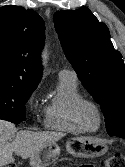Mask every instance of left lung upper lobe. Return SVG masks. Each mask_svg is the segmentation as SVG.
<instances>
[{"label":"left lung upper lobe","mask_w":125,"mask_h":167,"mask_svg":"<svg viewBox=\"0 0 125 167\" xmlns=\"http://www.w3.org/2000/svg\"><path fill=\"white\" fill-rule=\"evenodd\" d=\"M64 53L105 117L110 136L125 138V65L108 27L88 8L54 14Z\"/></svg>","instance_id":"left-lung-upper-lobe-1"}]
</instances>
